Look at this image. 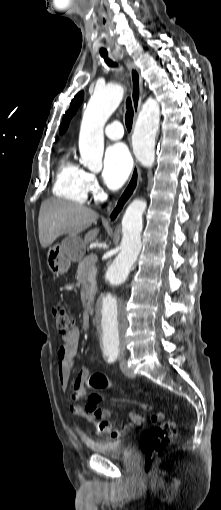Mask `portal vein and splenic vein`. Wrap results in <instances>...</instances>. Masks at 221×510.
<instances>
[{
    "instance_id": "obj_1",
    "label": "portal vein and splenic vein",
    "mask_w": 221,
    "mask_h": 510,
    "mask_svg": "<svg viewBox=\"0 0 221 510\" xmlns=\"http://www.w3.org/2000/svg\"><path fill=\"white\" fill-rule=\"evenodd\" d=\"M91 260H93V261H97V256H96L95 254H94V255H92Z\"/></svg>"
}]
</instances>
